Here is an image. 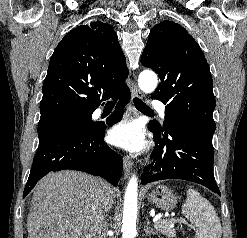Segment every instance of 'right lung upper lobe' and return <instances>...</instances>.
I'll return each instance as SVG.
<instances>
[{
  "mask_svg": "<svg viewBox=\"0 0 247 238\" xmlns=\"http://www.w3.org/2000/svg\"><path fill=\"white\" fill-rule=\"evenodd\" d=\"M128 74L126 58L109 24L98 20L72 29L51 57L40 121L93 112L101 101L127 87Z\"/></svg>",
  "mask_w": 247,
  "mask_h": 238,
  "instance_id": "obj_1",
  "label": "right lung upper lobe"
}]
</instances>
